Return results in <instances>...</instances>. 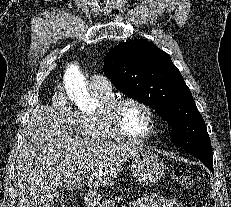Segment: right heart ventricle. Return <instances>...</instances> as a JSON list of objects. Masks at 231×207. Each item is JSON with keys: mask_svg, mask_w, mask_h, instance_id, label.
I'll return each mask as SVG.
<instances>
[{"mask_svg": "<svg viewBox=\"0 0 231 207\" xmlns=\"http://www.w3.org/2000/svg\"><path fill=\"white\" fill-rule=\"evenodd\" d=\"M93 95L99 101L98 109L93 113H79L78 132L86 139L94 141H111L118 138L108 129L104 112L106 107L115 99L110 91L92 89Z\"/></svg>", "mask_w": 231, "mask_h": 207, "instance_id": "e07e8e85", "label": "right heart ventricle"}]
</instances>
